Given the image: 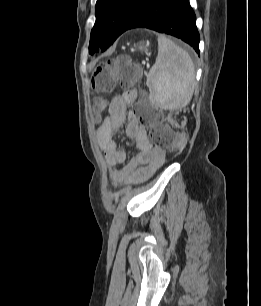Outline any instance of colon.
Returning <instances> with one entry per match:
<instances>
[{
    "label": "colon",
    "instance_id": "obj_1",
    "mask_svg": "<svg viewBox=\"0 0 261 306\" xmlns=\"http://www.w3.org/2000/svg\"><path fill=\"white\" fill-rule=\"evenodd\" d=\"M140 78V69L127 56H120L98 64L92 73V86L99 92L111 90L116 83L126 92L133 91ZM100 107V102L96 103ZM137 115L143 125L150 127L151 139L160 148L179 150L185 142L183 133L174 132L161 123L159 113L152 107L141 106Z\"/></svg>",
    "mask_w": 261,
    "mask_h": 306
}]
</instances>
